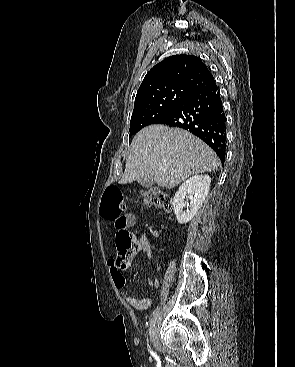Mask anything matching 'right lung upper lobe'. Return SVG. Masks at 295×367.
Wrapping results in <instances>:
<instances>
[{"label":"right lung upper lobe","mask_w":295,"mask_h":367,"mask_svg":"<svg viewBox=\"0 0 295 367\" xmlns=\"http://www.w3.org/2000/svg\"><path fill=\"white\" fill-rule=\"evenodd\" d=\"M213 81L212 74L200 58L193 55L170 56L146 74L135 101L174 88H182L193 93Z\"/></svg>","instance_id":"right-lung-upper-lobe-1"}]
</instances>
